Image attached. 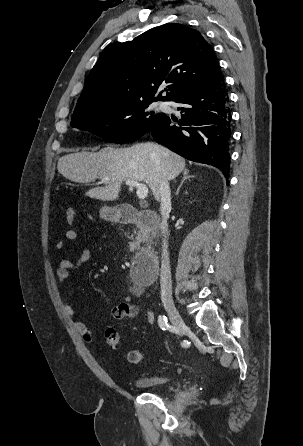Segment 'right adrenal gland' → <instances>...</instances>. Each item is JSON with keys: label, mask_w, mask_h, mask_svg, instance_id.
Here are the masks:
<instances>
[{"label": "right adrenal gland", "mask_w": 303, "mask_h": 446, "mask_svg": "<svg viewBox=\"0 0 303 446\" xmlns=\"http://www.w3.org/2000/svg\"><path fill=\"white\" fill-rule=\"evenodd\" d=\"M182 175H183V178H182V181H181L180 185H179L178 188H177V191H176V193H175L176 195L179 194V192H180V188L182 187L183 183H184L186 180H189L190 178H193V177H194L193 175H189V170H187V169H184V170H183Z\"/></svg>", "instance_id": "obj_1"}]
</instances>
